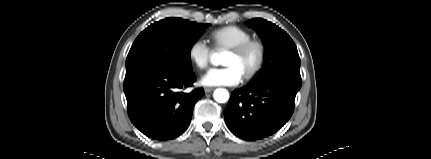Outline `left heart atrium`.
Returning <instances> with one entry per match:
<instances>
[{
    "label": "left heart atrium",
    "mask_w": 431,
    "mask_h": 159,
    "mask_svg": "<svg viewBox=\"0 0 431 159\" xmlns=\"http://www.w3.org/2000/svg\"><path fill=\"white\" fill-rule=\"evenodd\" d=\"M242 73L233 65L222 68H211L201 78L206 86H235L242 80Z\"/></svg>",
    "instance_id": "1"
}]
</instances>
